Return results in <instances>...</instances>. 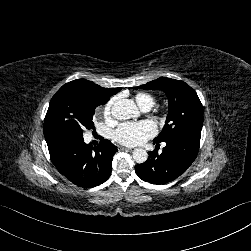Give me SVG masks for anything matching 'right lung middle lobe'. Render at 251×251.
<instances>
[{"instance_id":"right-lung-middle-lobe-1","label":"right lung middle lobe","mask_w":251,"mask_h":251,"mask_svg":"<svg viewBox=\"0 0 251 251\" xmlns=\"http://www.w3.org/2000/svg\"><path fill=\"white\" fill-rule=\"evenodd\" d=\"M95 108L84 100L82 92L62 86L50 101L44 120V135L64 132L83 137L84 129L94 128Z\"/></svg>"}]
</instances>
